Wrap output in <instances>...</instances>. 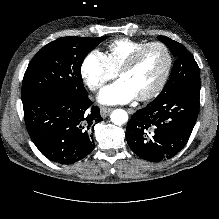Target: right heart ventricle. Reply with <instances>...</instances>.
<instances>
[{
	"mask_svg": "<svg viewBox=\"0 0 219 219\" xmlns=\"http://www.w3.org/2000/svg\"><path fill=\"white\" fill-rule=\"evenodd\" d=\"M144 41H137L130 38H119L112 41L106 52V57L112 69L116 72L124 62L139 48L145 45Z\"/></svg>",
	"mask_w": 219,
	"mask_h": 219,
	"instance_id": "e07e8e85",
	"label": "right heart ventricle"
}]
</instances>
